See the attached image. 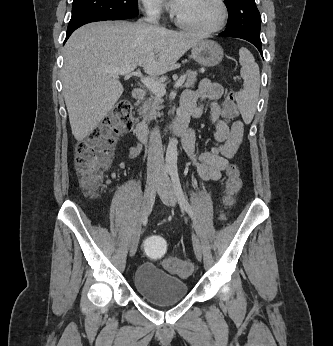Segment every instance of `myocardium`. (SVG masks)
Here are the masks:
<instances>
[{"label":"myocardium","instance_id":"f54148a6","mask_svg":"<svg viewBox=\"0 0 333 346\" xmlns=\"http://www.w3.org/2000/svg\"><path fill=\"white\" fill-rule=\"evenodd\" d=\"M216 2L220 7V18H219V21L211 27H199V26H196L194 24H191V23L183 20L177 13L175 14V22L180 27L187 29V30H190V31L197 32V33H201V34L216 33L225 27V25L228 21V16H229L228 7H227L225 0H216Z\"/></svg>","mask_w":333,"mask_h":346}]
</instances>
